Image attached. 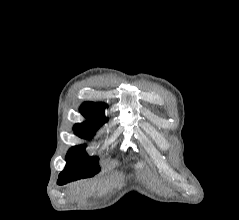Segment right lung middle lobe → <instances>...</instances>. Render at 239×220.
Masks as SVG:
<instances>
[{
	"label": "right lung middle lobe",
	"instance_id": "dd1d6c3e",
	"mask_svg": "<svg viewBox=\"0 0 239 220\" xmlns=\"http://www.w3.org/2000/svg\"><path fill=\"white\" fill-rule=\"evenodd\" d=\"M75 134L84 139H90L96 130L74 127ZM100 171L97 157H90L85 151V145L72 147L66 155V167L59 174L58 184L92 177Z\"/></svg>",
	"mask_w": 239,
	"mask_h": 220
}]
</instances>
